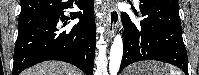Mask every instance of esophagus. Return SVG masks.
Wrapping results in <instances>:
<instances>
[{
	"label": "esophagus",
	"instance_id": "1",
	"mask_svg": "<svg viewBox=\"0 0 199 75\" xmlns=\"http://www.w3.org/2000/svg\"><path fill=\"white\" fill-rule=\"evenodd\" d=\"M104 8L106 10V16H105L106 33L112 39L115 34L117 14L111 6L110 0H106V2L104 3Z\"/></svg>",
	"mask_w": 199,
	"mask_h": 75
}]
</instances>
